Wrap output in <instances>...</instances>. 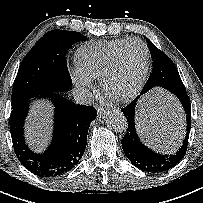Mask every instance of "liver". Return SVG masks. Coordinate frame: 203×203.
<instances>
[{"label": "liver", "mask_w": 203, "mask_h": 203, "mask_svg": "<svg viewBox=\"0 0 203 203\" xmlns=\"http://www.w3.org/2000/svg\"><path fill=\"white\" fill-rule=\"evenodd\" d=\"M163 109L154 104L145 110L140 108L139 128L146 141L160 150H169L177 146L183 137V116L177 103L167 102ZM49 110L42 104H36L27 124V138L36 151L45 147L49 137Z\"/></svg>", "instance_id": "1"}]
</instances>
